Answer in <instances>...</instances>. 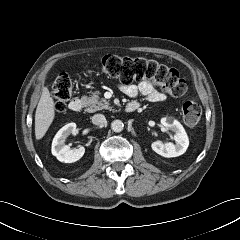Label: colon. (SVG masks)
<instances>
[{"label": "colon", "instance_id": "obj_1", "mask_svg": "<svg viewBox=\"0 0 240 240\" xmlns=\"http://www.w3.org/2000/svg\"><path fill=\"white\" fill-rule=\"evenodd\" d=\"M100 70L108 77L118 79L123 84L133 81H149L159 85L172 97L182 100L181 113L184 122L191 127H198L201 123L200 107L188 100L187 84L174 68L168 67L155 60L145 57H120L106 55L98 60ZM54 108L63 113L73 94V83L66 73L57 76L53 84Z\"/></svg>", "mask_w": 240, "mask_h": 240}]
</instances>
